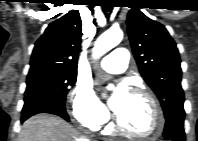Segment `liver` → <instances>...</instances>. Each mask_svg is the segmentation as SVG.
<instances>
[{
    "instance_id": "obj_1",
    "label": "liver",
    "mask_w": 198,
    "mask_h": 141,
    "mask_svg": "<svg viewBox=\"0 0 198 141\" xmlns=\"http://www.w3.org/2000/svg\"><path fill=\"white\" fill-rule=\"evenodd\" d=\"M18 141H87L66 121L38 114L23 123Z\"/></svg>"
}]
</instances>
